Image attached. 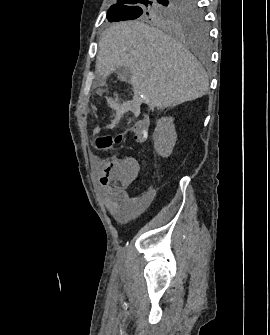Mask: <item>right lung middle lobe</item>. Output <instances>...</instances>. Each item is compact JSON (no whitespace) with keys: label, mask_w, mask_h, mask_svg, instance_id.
I'll list each match as a JSON object with an SVG mask.
<instances>
[{"label":"right lung middle lobe","mask_w":270,"mask_h":335,"mask_svg":"<svg viewBox=\"0 0 270 335\" xmlns=\"http://www.w3.org/2000/svg\"><path fill=\"white\" fill-rule=\"evenodd\" d=\"M107 13L110 22L140 18L197 44L208 40L205 12L196 0H117Z\"/></svg>","instance_id":"dd1d6c3e"}]
</instances>
